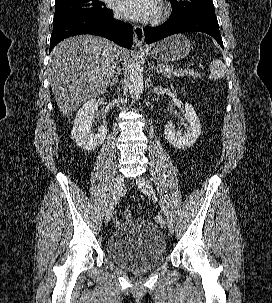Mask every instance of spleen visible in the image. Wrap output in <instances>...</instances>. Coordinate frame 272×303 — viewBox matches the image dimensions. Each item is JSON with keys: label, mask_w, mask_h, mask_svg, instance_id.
I'll use <instances>...</instances> for the list:
<instances>
[{"label": "spleen", "mask_w": 272, "mask_h": 303, "mask_svg": "<svg viewBox=\"0 0 272 303\" xmlns=\"http://www.w3.org/2000/svg\"><path fill=\"white\" fill-rule=\"evenodd\" d=\"M209 78L213 80L222 79L225 76V65L221 60H214L210 63Z\"/></svg>", "instance_id": "1"}]
</instances>
